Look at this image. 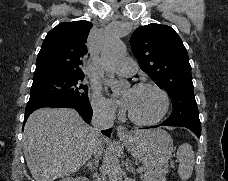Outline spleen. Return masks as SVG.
<instances>
[{
	"mask_svg": "<svg viewBox=\"0 0 228 181\" xmlns=\"http://www.w3.org/2000/svg\"><path fill=\"white\" fill-rule=\"evenodd\" d=\"M176 155L179 161L178 175L182 181H187L193 173L195 161L194 151L188 143H183V145L179 147Z\"/></svg>",
	"mask_w": 228,
	"mask_h": 181,
	"instance_id": "1",
	"label": "spleen"
}]
</instances>
